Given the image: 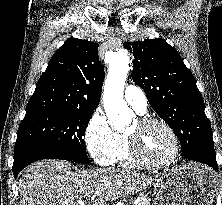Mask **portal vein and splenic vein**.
I'll return each instance as SVG.
<instances>
[{"instance_id":"portal-vein-and-splenic-vein-1","label":"portal vein and splenic vein","mask_w":222,"mask_h":205,"mask_svg":"<svg viewBox=\"0 0 222 205\" xmlns=\"http://www.w3.org/2000/svg\"><path fill=\"white\" fill-rule=\"evenodd\" d=\"M90 193H87L86 196H90ZM78 204L84 205L82 202H78Z\"/></svg>"}]
</instances>
